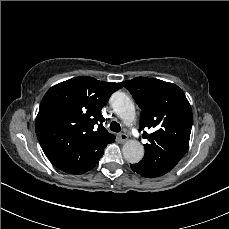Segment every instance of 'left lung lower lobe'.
I'll list each match as a JSON object with an SVG mask.
<instances>
[{
    "instance_id": "0a47b994",
    "label": "left lung lower lobe",
    "mask_w": 229,
    "mask_h": 229,
    "mask_svg": "<svg viewBox=\"0 0 229 229\" xmlns=\"http://www.w3.org/2000/svg\"><path fill=\"white\" fill-rule=\"evenodd\" d=\"M131 168L134 172H136L137 174L143 176V177H147V178H154L156 176L153 175V173L151 171H149L148 169H146L145 167L141 166L140 164H131Z\"/></svg>"
}]
</instances>
